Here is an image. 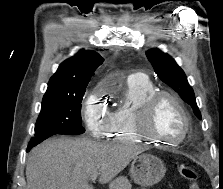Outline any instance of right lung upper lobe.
<instances>
[{
    "instance_id": "obj_1",
    "label": "right lung upper lobe",
    "mask_w": 223,
    "mask_h": 189,
    "mask_svg": "<svg viewBox=\"0 0 223 189\" xmlns=\"http://www.w3.org/2000/svg\"><path fill=\"white\" fill-rule=\"evenodd\" d=\"M103 58L96 52L80 50L60 64L45 94H70L86 88Z\"/></svg>"
}]
</instances>
